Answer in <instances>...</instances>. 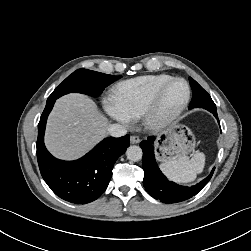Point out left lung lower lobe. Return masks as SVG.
<instances>
[{"label":"left lung lower lobe","instance_id":"left-lung-lower-lobe-1","mask_svg":"<svg viewBox=\"0 0 251 251\" xmlns=\"http://www.w3.org/2000/svg\"><path fill=\"white\" fill-rule=\"evenodd\" d=\"M210 112L213 113L219 122L217 111ZM154 141L155 138L151 136L148 137L147 140H143L140 143V147L143 149V186L145 187V190L153 198L160 200L163 203L182 202L199 193L211 179L215 168L212 169L208 177L194 186L188 187L178 185L172 181H169L160 171L154 157Z\"/></svg>","mask_w":251,"mask_h":251}]
</instances>
